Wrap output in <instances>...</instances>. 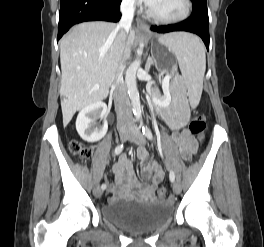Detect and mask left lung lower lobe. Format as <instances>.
I'll use <instances>...</instances> for the list:
<instances>
[{
	"mask_svg": "<svg viewBox=\"0 0 264 247\" xmlns=\"http://www.w3.org/2000/svg\"><path fill=\"white\" fill-rule=\"evenodd\" d=\"M151 30L158 33H168L173 31H187L199 35L209 49V18L206 5L193 4L191 16L178 24L168 26H153Z\"/></svg>",
	"mask_w": 264,
	"mask_h": 247,
	"instance_id": "0a47b994",
	"label": "left lung lower lobe"
}]
</instances>
